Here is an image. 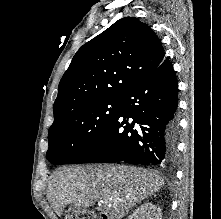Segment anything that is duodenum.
<instances>
[{
    "instance_id": "410a0bca",
    "label": "duodenum",
    "mask_w": 221,
    "mask_h": 219,
    "mask_svg": "<svg viewBox=\"0 0 221 219\" xmlns=\"http://www.w3.org/2000/svg\"><path fill=\"white\" fill-rule=\"evenodd\" d=\"M99 219H112V217L109 216L107 213H100Z\"/></svg>"
}]
</instances>
